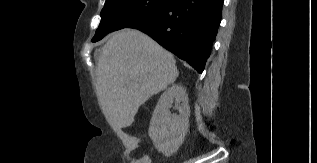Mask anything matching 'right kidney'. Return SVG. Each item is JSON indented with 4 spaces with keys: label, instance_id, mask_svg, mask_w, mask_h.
Segmentation results:
<instances>
[{
    "label": "right kidney",
    "instance_id": "right-kidney-1",
    "mask_svg": "<svg viewBox=\"0 0 317 163\" xmlns=\"http://www.w3.org/2000/svg\"><path fill=\"white\" fill-rule=\"evenodd\" d=\"M175 101L179 114H171L170 107ZM190 107L184 88L173 85L158 100L153 112L148 134L155 148L169 157L183 144L189 128Z\"/></svg>",
    "mask_w": 317,
    "mask_h": 163
}]
</instances>
